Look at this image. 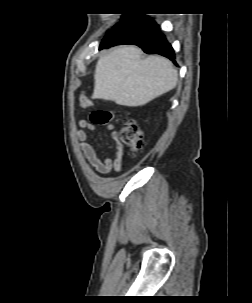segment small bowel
I'll return each instance as SVG.
<instances>
[{
	"label": "small bowel",
	"mask_w": 252,
	"mask_h": 303,
	"mask_svg": "<svg viewBox=\"0 0 252 303\" xmlns=\"http://www.w3.org/2000/svg\"><path fill=\"white\" fill-rule=\"evenodd\" d=\"M79 129L76 132V138L79 141V146L86 164L93 170L101 174H108L111 170L120 171L122 168L124 147L118 139V133L115 130L114 124H108L107 130L111 132V139L114 142V156L100 159L95 148L88 141L85 130H94L95 127L87 120L82 119L78 122Z\"/></svg>",
	"instance_id": "1"
}]
</instances>
